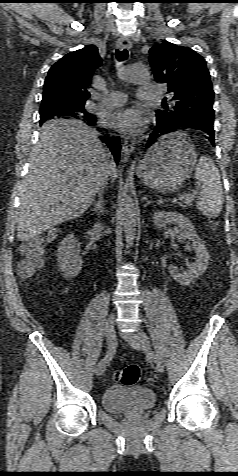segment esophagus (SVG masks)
Returning <instances> with one entry per match:
<instances>
[{"instance_id": "34e87169", "label": "esophagus", "mask_w": 238, "mask_h": 476, "mask_svg": "<svg viewBox=\"0 0 238 476\" xmlns=\"http://www.w3.org/2000/svg\"><path fill=\"white\" fill-rule=\"evenodd\" d=\"M116 47L120 50L123 49H130L131 48V43L129 39L126 37H120L116 43ZM135 149V143L134 142H128L124 141L122 144V150H121V157L122 161L126 162L129 159L130 154L133 152Z\"/></svg>"}]
</instances>
